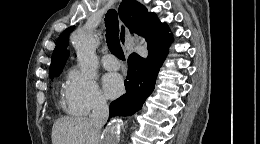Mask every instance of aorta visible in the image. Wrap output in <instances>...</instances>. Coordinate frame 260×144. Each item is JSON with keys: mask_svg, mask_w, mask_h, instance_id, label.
I'll list each match as a JSON object with an SVG mask.
<instances>
[{"mask_svg": "<svg viewBox=\"0 0 260 144\" xmlns=\"http://www.w3.org/2000/svg\"><path fill=\"white\" fill-rule=\"evenodd\" d=\"M73 44L77 51L82 74L85 77H92L96 72L98 64L95 54L98 44L97 36L92 32H81L75 35Z\"/></svg>", "mask_w": 260, "mask_h": 144, "instance_id": "762f6f07", "label": "aorta"}]
</instances>
